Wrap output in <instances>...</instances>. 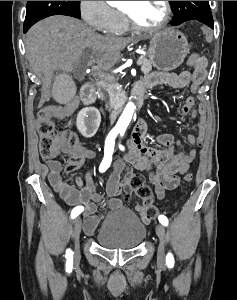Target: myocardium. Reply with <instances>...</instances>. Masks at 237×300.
Returning a JSON list of instances; mask_svg holds the SVG:
<instances>
[{
	"label": "myocardium",
	"instance_id": "1",
	"mask_svg": "<svg viewBox=\"0 0 237 300\" xmlns=\"http://www.w3.org/2000/svg\"><path fill=\"white\" fill-rule=\"evenodd\" d=\"M164 2V6H165V15L163 17V20L155 26H144L141 24H138L135 19L132 17V15L125 9H121V13L125 19V21L127 22V24L134 30L137 31H147V32H155V31H160L162 29H164L170 19H171V4L170 1H163Z\"/></svg>",
	"mask_w": 237,
	"mask_h": 300
}]
</instances>
